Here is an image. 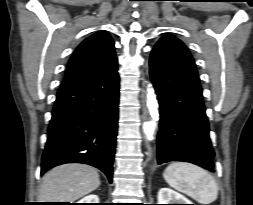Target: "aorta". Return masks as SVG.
<instances>
[{
  "label": "aorta",
  "mask_w": 253,
  "mask_h": 205,
  "mask_svg": "<svg viewBox=\"0 0 253 205\" xmlns=\"http://www.w3.org/2000/svg\"><path fill=\"white\" fill-rule=\"evenodd\" d=\"M146 104H147V108L151 116V119L154 121H157L159 119V112H158L159 105H158V101L156 98L154 88L152 87V84H149L147 86ZM143 130L146 135V138L148 140H152L153 131H154L152 124L150 122H144Z\"/></svg>",
  "instance_id": "762f6f07"
}]
</instances>
